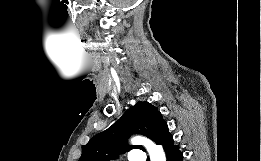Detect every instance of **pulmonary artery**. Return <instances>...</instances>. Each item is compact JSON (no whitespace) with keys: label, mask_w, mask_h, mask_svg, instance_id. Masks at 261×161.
Wrapping results in <instances>:
<instances>
[{"label":"pulmonary artery","mask_w":261,"mask_h":161,"mask_svg":"<svg viewBox=\"0 0 261 161\" xmlns=\"http://www.w3.org/2000/svg\"><path fill=\"white\" fill-rule=\"evenodd\" d=\"M144 156L143 155H138L137 157H135L132 161H144Z\"/></svg>","instance_id":"obj_1"}]
</instances>
